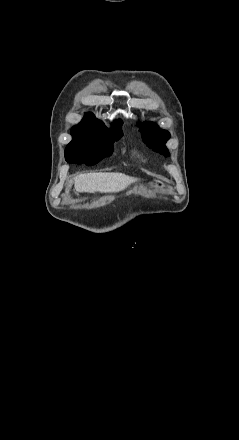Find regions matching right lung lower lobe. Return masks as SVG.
Here are the masks:
<instances>
[{
	"instance_id": "1",
	"label": "right lung lower lobe",
	"mask_w": 239,
	"mask_h": 440,
	"mask_svg": "<svg viewBox=\"0 0 239 440\" xmlns=\"http://www.w3.org/2000/svg\"><path fill=\"white\" fill-rule=\"evenodd\" d=\"M112 153L102 152L98 149L91 147L77 148L71 151H65L66 161L69 163L86 165H94L98 163L103 158L110 156Z\"/></svg>"
}]
</instances>
